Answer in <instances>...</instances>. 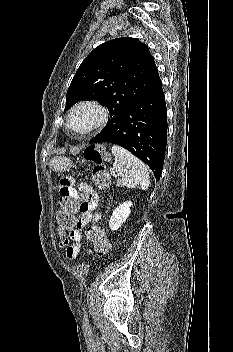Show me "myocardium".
Instances as JSON below:
<instances>
[{
    "label": "myocardium",
    "mask_w": 233,
    "mask_h": 352,
    "mask_svg": "<svg viewBox=\"0 0 233 352\" xmlns=\"http://www.w3.org/2000/svg\"><path fill=\"white\" fill-rule=\"evenodd\" d=\"M81 109H91L96 113L95 119L84 129H77L73 126L72 119L74 114ZM109 120L107 108L100 102L93 99H85L77 102L69 111L67 116V127L78 135L91 134L106 125Z\"/></svg>",
    "instance_id": "obj_1"
}]
</instances>
